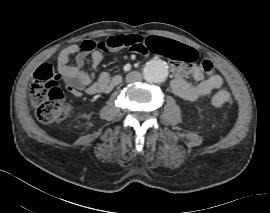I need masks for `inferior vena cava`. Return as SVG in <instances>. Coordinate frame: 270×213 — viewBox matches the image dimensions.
I'll list each match as a JSON object with an SVG mask.
<instances>
[{
  "mask_svg": "<svg viewBox=\"0 0 270 213\" xmlns=\"http://www.w3.org/2000/svg\"><path fill=\"white\" fill-rule=\"evenodd\" d=\"M141 80H142V75L137 71L130 72L126 76V81L129 83L138 82Z\"/></svg>",
  "mask_w": 270,
  "mask_h": 213,
  "instance_id": "1",
  "label": "inferior vena cava"
}]
</instances>
